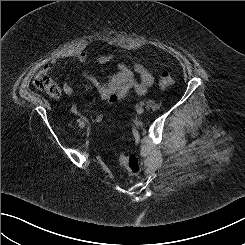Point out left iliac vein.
Instances as JSON below:
<instances>
[{"instance_id":"1","label":"left iliac vein","mask_w":245,"mask_h":245,"mask_svg":"<svg viewBox=\"0 0 245 245\" xmlns=\"http://www.w3.org/2000/svg\"><path fill=\"white\" fill-rule=\"evenodd\" d=\"M144 111H145V109H144L143 107H138V108L136 109V112H137L138 114H143Z\"/></svg>"}]
</instances>
